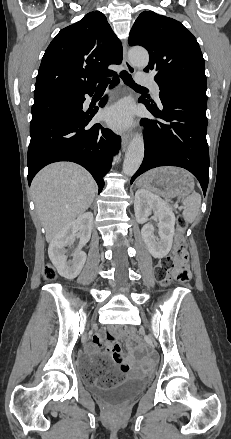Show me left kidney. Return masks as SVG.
<instances>
[{"label": "left kidney", "instance_id": "1", "mask_svg": "<svg viewBox=\"0 0 231 439\" xmlns=\"http://www.w3.org/2000/svg\"><path fill=\"white\" fill-rule=\"evenodd\" d=\"M134 211L136 220L140 224L146 223L148 216L153 211L158 220L159 239L154 235V226L145 224L142 227V238L154 258H163L172 247L174 236L175 215L168 204L159 196L139 189L135 193Z\"/></svg>", "mask_w": 231, "mask_h": 439}]
</instances>
